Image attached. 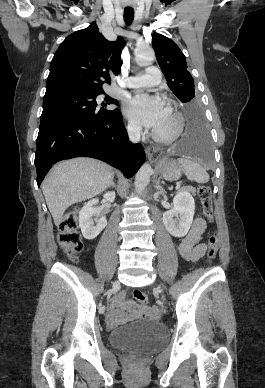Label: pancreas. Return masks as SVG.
Returning a JSON list of instances; mask_svg holds the SVG:
<instances>
[{
  "instance_id": "1",
  "label": "pancreas",
  "mask_w": 265,
  "mask_h": 388,
  "mask_svg": "<svg viewBox=\"0 0 265 388\" xmlns=\"http://www.w3.org/2000/svg\"><path fill=\"white\" fill-rule=\"evenodd\" d=\"M179 192H191V194H195L196 190L195 188H181Z\"/></svg>"
}]
</instances>
